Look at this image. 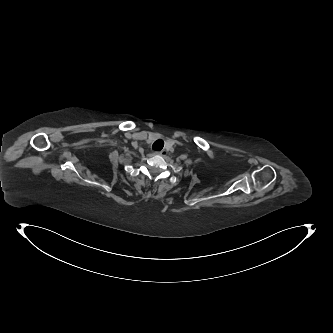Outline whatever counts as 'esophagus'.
<instances>
[{"instance_id":"esophagus-1","label":"esophagus","mask_w":333,"mask_h":333,"mask_svg":"<svg viewBox=\"0 0 333 333\" xmlns=\"http://www.w3.org/2000/svg\"><path fill=\"white\" fill-rule=\"evenodd\" d=\"M156 155H164L165 154V150H159L155 152Z\"/></svg>"}]
</instances>
